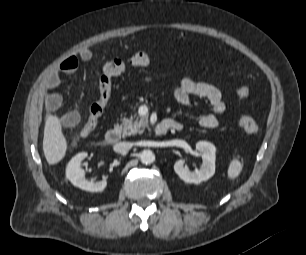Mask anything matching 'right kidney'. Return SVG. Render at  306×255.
<instances>
[{"mask_svg":"<svg viewBox=\"0 0 306 255\" xmlns=\"http://www.w3.org/2000/svg\"><path fill=\"white\" fill-rule=\"evenodd\" d=\"M87 157L86 152L75 155L66 166V178L76 187L89 192L103 191L107 186V181H88L85 178V172L80 167L81 162Z\"/></svg>","mask_w":306,"mask_h":255,"instance_id":"right-kidney-1","label":"right kidney"}]
</instances>
